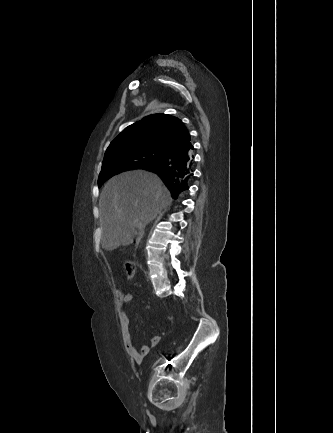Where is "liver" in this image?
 Listing matches in <instances>:
<instances>
[{"mask_svg":"<svg viewBox=\"0 0 333 433\" xmlns=\"http://www.w3.org/2000/svg\"><path fill=\"white\" fill-rule=\"evenodd\" d=\"M171 203L170 192L153 173L133 170L111 178L99 200L102 248L112 251L130 245L136 229L144 230ZM136 219L140 228L134 224Z\"/></svg>","mask_w":333,"mask_h":433,"instance_id":"liver-1","label":"liver"}]
</instances>
